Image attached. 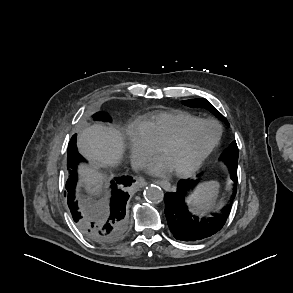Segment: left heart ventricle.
Wrapping results in <instances>:
<instances>
[{"label": "left heart ventricle", "instance_id": "obj_1", "mask_svg": "<svg viewBox=\"0 0 293 293\" xmlns=\"http://www.w3.org/2000/svg\"><path fill=\"white\" fill-rule=\"evenodd\" d=\"M217 127L199 124L191 128L184 139L161 153L172 170H180L191 165L212 143L217 135Z\"/></svg>", "mask_w": 293, "mask_h": 293}]
</instances>
